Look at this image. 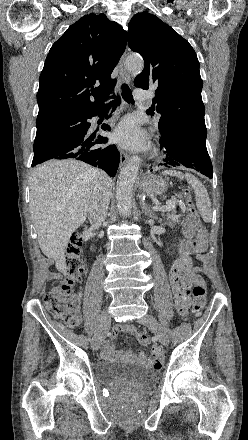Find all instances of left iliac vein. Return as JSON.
I'll use <instances>...</instances> for the list:
<instances>
[{
  "label": "left iliac vein",
  "instance_id": "4c4485c4",
  "mask_svg": "<svg viewBox=\"0 0 248 440\" xmlns=\"http://www.w3.org/2000/svg\"><path fill=\"white\" fill-rule=\"evenodd\" d=\"M138 322L150 328L155 333L162 346H167L169 344L168 335L153 315L146 314L141 317Z\"/></svg>",
  "mask_w": 248,
  "mask_h": 440
}]
</instances>
